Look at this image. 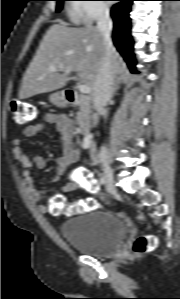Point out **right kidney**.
<instances>
[{"mask_svg": "<svg viewBox=\"0 0 180 299\" xmlns=\"http://www.w3.org/2000/svg\"><path fill=\"white\" fill-rule=\"evenodd\" d=\"M92 134H87L84 139H83V142H82V147L84 149H87L90 147V144H91V140H92Z\"/></svg>", "mask_w": 180, "mask_h": 299, "instance_id": "1", "label": "right kidney"}]
</instances>
